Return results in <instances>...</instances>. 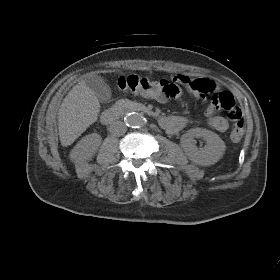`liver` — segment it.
Returning <instances> with one entry per match:
<instances>
[{"mask_svg":"<svg viewBox=\"0 0 280 280\" xmlns=\"http://www.w3.org/2000/svg\"><path fill=\"white\" fill-rule=\"evenodd\" d=\"M99 112L98 98L82 80L70 90L58 112L61 144L71 145L91 124L96 122Z\"/></svg>","mask_w":280,"mask_h":280,"instance_id":"liver-1","label":"liver"}]
</instances>
